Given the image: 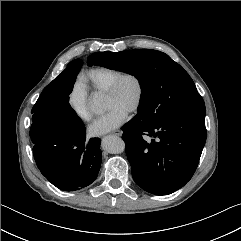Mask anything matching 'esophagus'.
Wrapping results in <instances>:
<instances>
[{"mask_svg": "<svg viewBox=\"0 0 241 241\" xmlns=\"http://www.w3.org/2000/svg\"><path fill=\"white\" fill-rule=\"evenodd\" d=\"M113 135H121V131L120 130H116L112 133Z\"/></svg>", "mask_w": 241, "mask_h": 241, "instance_id": "obj_1", "label": "esophagus"}]
</instances>
